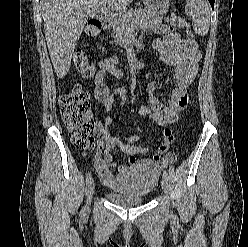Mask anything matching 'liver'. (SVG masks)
Listing matches in <instances>:
<instances>
[{
	"label": "liver",
	"instance_id": "1",
	"mask_svg": "<svg viewBox=\"0 0 248 247\" xmlns=\"http://www.w3.org/2000/svg\"><path fill=\"white\" fill-rule=\"evenodd\" d=\"M133 0H43L42 17L49 55L58 78L70 69L72 55L87 18L106 5L125 10Z\"/></svg>",
	"mask_w": 248,
	"mask_h": 247
}]
</instances>
